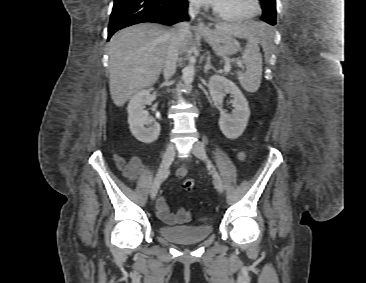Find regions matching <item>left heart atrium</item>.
Listing matches in <instances>:
<instances>
[{"instance_id": "left-heart-atrium-1", "label": "left heart atrium", "mask_w": 366, "mask_h": 283, "mask_svg": "<svg viewBox=\"0 0 366 283\" xmlns=\"http://www.w3.org/2000/svg\"><path fill=\"white\" fill-rule=\"evenodd\" d=\"M192 1L195 2V3H198V4H212V5H214V4H216V2L218 0H192Z\"/></svg>"}]
</instances>
